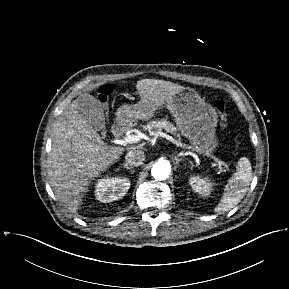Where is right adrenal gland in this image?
I'll return each mask as SVG.
<instances>
[{
    "label": "right adrenal gland",
    "instance_id": "right-adrenal-gland-1",
    "mask_svg": "<svg viewBox=\"0 0 289 289\" xmlns=\"http://www.w3.org/2000/svg\"><path fill=\"white\" fill-rule=\"evenodd\" d=\"M123 167L129 170H132V167H129L127 163H123Z\"/></svg>",
    "mask_w": 289,
    "mask_h": 289
}]
</instances>
